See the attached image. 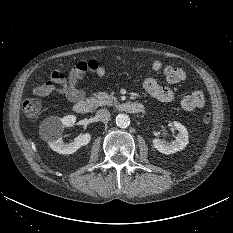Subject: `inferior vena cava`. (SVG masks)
Returning <instances> with one entry per match:
<instances>
[{
	"mask_svg": "<svg viewBox=\"0 0 233 233\" xmlns=\"http://www.w3.org/2000/svg\"><path fill=\"white\" fill-rule=\"evenodd\" d=\"M111 114L107 109H100L96 113V118L101 122H108L110 120Z\"/></svg>",
	"mask_w": 233,
	"mask_h": 233,
	"instance_id": "obj_1",
	"label": "inferior vena cava"
}]
</instances>
